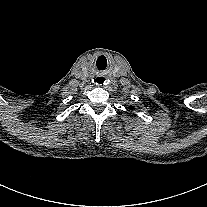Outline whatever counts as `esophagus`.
Segmentation results:
<instances>
[{
    "label": "esophagus",
    "mask_w": 207,
    "mask_h": 207,
    "mask_svg": "<svg viewBox=\"0 0 207 207\" xmlns=\"http://www.w3.org/2000/svg\"><path fill=\"white\" fill-rule=\"evenodd\" d=\"M95 84L97 86H104L106 84V77L104 75H97L95 77Z\"/></svg>",
    "instance_id": "34e87169"
}]
</instances>
